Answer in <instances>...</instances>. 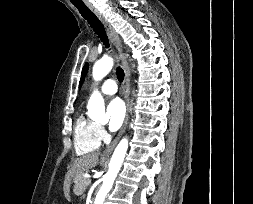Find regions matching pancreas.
I'll return each instance as SVG.
<instances>
[{
	"label": "pancreas",
	"mask_w": 253,
	"mask_h": 204,
	"mask_svg": "<svg viewBox=\"0 0 253 204\" xmlns=\"http://www.w3.org/2000/svg\"><path fill=\"white\" fill-rule=\"evenodd\" d=\"M87 178L83 177L82 175L78 176L75 181L74 185V193L76 195H82L87 187Z\"/></svg>",
	"instance_id": "1"
}]
</instances>
